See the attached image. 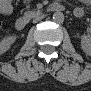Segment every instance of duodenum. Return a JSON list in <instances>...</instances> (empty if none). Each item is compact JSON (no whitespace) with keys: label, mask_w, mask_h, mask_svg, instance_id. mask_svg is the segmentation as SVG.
Listing matches in <instances>:
<instances>
[{"label":"duodenum","mask_w":91,"mask_h":91,"mask_svg":"<svg viewBox=\"0 0 91 91\" xmlns=\"http://www.w3.org/2000/svg\"><path fill=\"white\" fill-rule=\"evenodd\" d=\"M63 6L59 3H54L49 6V11L51 12H61ZM28 19L25 17H19L15 20V28L17 30H23L28 25Z\"/></svg>","instance_id":"duodenum-1"}]
</instances>
